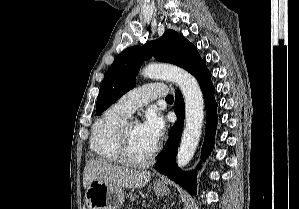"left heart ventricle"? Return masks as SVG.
I'll use <instances>...</instances> for the list:
<instances>
[{
  "instance_id": "obj_1",
  "label": "left heart ventricle",
  "mask_w": 299,
  "mask_h": 209,
  "mask_svg": "<svg viewBox=\"0 0 299 209\" xmlns=\"http://www.w3.org/2000/svg\"><path fill=\"white\" fill-rule=\"evenodd\" d=\"M154 149L141 133L140 125L130 123L129 126V152L133 159H145Z\"/></svg>"
}]
</instances>
